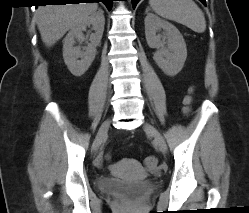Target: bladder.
I'll return each mask as SVG.
<instances>
[{"label": "bladder", "instance_id": "bladder-1", "mask_svg": "<svg viewBox=\"0 0 249 213\" xmlns=\"http://www.w3.org/2000/svg\"><path fill=\"white\" fill-rule=\"evenodd\" d=\"M99 188L105 193L128 198H142L156 188L152 180L127 181L114 177H104L99 180Z\"/></svg>", "mask_w": 249, "mask_h": 213}]
</instances>
